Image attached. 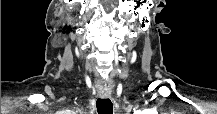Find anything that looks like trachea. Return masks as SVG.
<instances>
[{"mask_svg":"<svg viewBox=\"0 0 217 114\" xmlns=\"http://www.w3.org/2000/svg\"><path fill=\"white\" fill-rule=\"evenodd\" d=\"M96 107L98 114H113V104L110 99H98Z\"/></svg>","mask_w":217,"mask_h":114,"instance_id":"trachea-1","label":"trachea"}]
</instances>
